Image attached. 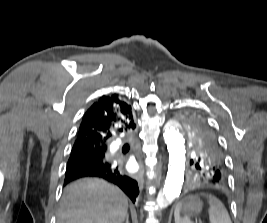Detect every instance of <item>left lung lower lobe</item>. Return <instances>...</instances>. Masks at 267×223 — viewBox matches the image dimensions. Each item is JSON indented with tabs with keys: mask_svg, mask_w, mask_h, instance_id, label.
I'll return each mask as SVG.
<instances>
[{
	"mask_svg": "<svg viewBox=\"0 0 267 223\" xmlns=\"http://www.w3.org/2000/svg\"><path fill=\"white\" fill-rule=\"evenodd\" d=\"M185 182H193L190 189H196L197 194H216V190H225L231 183L227 182L228 171H190Z\"/></svg>",
	"mask_w": 267,
	"mask_h": 223,
	"instance_id": "1",
	"label": "left lung lower lobe"
}]
</instances>
